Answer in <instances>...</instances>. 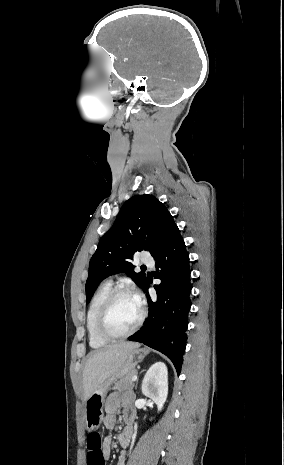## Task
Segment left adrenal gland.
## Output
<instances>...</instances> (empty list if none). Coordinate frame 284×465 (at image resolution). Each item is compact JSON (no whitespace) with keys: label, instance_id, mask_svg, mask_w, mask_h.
<instances>
[{"label":"left adrenal gland","instance_id":"obj_1","mask_svg":"<svg viewBox=\"0 0 284 465\" xmlns=\"http://www.w3.org/2000/svg\"><path fill=\"white\" fill-rule=\"evenodd\" d=\"M138 381H136L135 389H137Z\"/></svg>","mask_w":284,"mask_h":465}]
</instances>
